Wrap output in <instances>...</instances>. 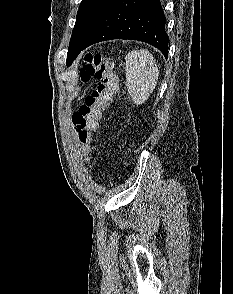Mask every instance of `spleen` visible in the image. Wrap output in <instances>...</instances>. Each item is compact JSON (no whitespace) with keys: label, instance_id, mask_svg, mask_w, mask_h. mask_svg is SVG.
Segmentation results:
<instances>
[{"label":"spleen","instance_id":"1","mask_svg":"<svg viewBox=\"0 0 233 294\" xmlns=\"http://www.w3.org/2000/svg\"><path fill=\"white\" fill-rule=\"evenodd\" d=\"M128 93L135 105H142L153 92L159 78L155 58L147 49L130 51L125 58Z\"/></svg>","mask_w":233,"mask_h":294}]
</instances>
